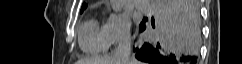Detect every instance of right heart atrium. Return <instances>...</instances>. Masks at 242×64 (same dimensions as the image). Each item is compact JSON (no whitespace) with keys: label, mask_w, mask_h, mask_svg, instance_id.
<instances>
[{"label":"right heart atrium","mask_w":242,"mask_h":64,"mask_svg":"<svg viewBox=\"0 0 242 64\" xmlns=\"http://www.w3.org/2000/svg\"><path fill=\"white\" fill-rule=\"evenodd\" d=\"M131 23L127 16L111 13L103 25V29L111 46L127 44L130 41Z\"/></svg>","instance_id":"d8ad5b80"}]
</instances>
